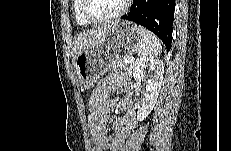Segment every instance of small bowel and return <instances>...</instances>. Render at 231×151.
<instances>
[{
	"label": "small bowel",
	"mask_w": 231,
	"mask_h": 151,
	"mask_svg": "<svg viewBox=\"0 0 231 151\" xmlns=\"http://www.w3.org/2000/svg\"><path fill=\"white\" fill-rule=\"evenodd\" d=\"M113 90H118L124 96L117 103V111L124 114L113 122L114 135L107 133L109 122L110 97ZM89 124L93 151H120L135 125V112L130 100L129 84L113 77L104 78L95 89L90 102Z\"/></svg>",
	"instance_id": "obj_1"
}]
</instances>
